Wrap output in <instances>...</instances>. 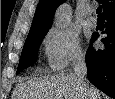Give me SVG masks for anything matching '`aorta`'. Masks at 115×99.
<instances>
[{
  "label": "aorta",
  "mask_w": 115,
  "mask_h": 99,
  "mask_svg": "<svg viewBox=\"0 0 115 99\" xmlns=\"http://www.w3.org/2000/svg\"><path fill=\"white\" fill-rule=\"evenodd\" d=\"M71 16H72V14L68 7L65 6V7L61 8L56 14L55 26L57 28L65 27L67 24L70 23Z\"/></svg>",
  "instance_id": "aorta-1"
}]
</instances>
